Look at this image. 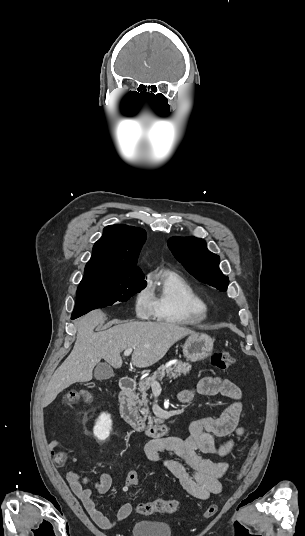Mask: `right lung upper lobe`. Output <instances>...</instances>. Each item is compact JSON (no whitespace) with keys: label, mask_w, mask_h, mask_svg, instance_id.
Instances as JSON below:
<instances>
[{"label":"right lung upper lobe","mask_w":305,"mask_h":536,"mask_svg":"<svg viewBox=\"0 0 305 536\" xmlns=\"http://www.w3.org/2000/svg\"><path fill=\"white\" fill-rule=\"evenodd\" d=\"M146 240L141 228L127 225H110L95 243L92 257L84 271V277L120 279L144 277L136 265L139 251Z\"/></svg>","instance_id":"obj_1"}]
</instances>
